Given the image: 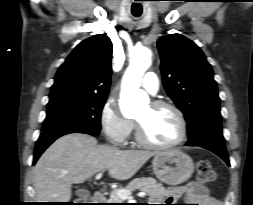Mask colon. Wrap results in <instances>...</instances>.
Masks as SVG:
<instances>
[{"instance_id": "5ec220e1", "label": "colon", "mask_w": 253, "mask_h": 205, "mask_svg": "<svg viewBox=\"0 0 253 205\" xmlns=\"http://www.w3.org/2000/svg\"><path fill=\"white\" fill-rule=\"evenodd\" d=\"M198 181L202 185L212 183L216 180V173L209 160H201L197 166ZM75 205H90L88 198H80L76 201Z\"/></svg>"}]
</instances>
